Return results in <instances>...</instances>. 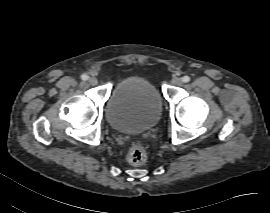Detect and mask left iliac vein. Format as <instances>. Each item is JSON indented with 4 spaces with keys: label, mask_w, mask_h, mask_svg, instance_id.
<instances>
[{
    "label": "left iliac vein",
    "mask_w": 270,
    "mask_h": 213,
    "mask_svg": "<svg viewBox=\"0 0 270 213\" xmlns=\"http://www.w3.org/2000/svg\"><path fill=\"white\" fill-rule=\"evenodd\" d=\"M171 83L175 86H181L183 84V81H182V78H179V77H174L172 80H171Z\"/></svg>",
    "instance_id": "obj_1"
}]
</instances>
